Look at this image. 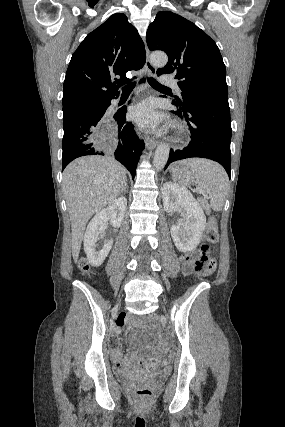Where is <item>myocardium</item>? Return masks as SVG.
Returning <instances> with one entry per match:
<instances>
[{
    "label": "myocardium",
    "instance_id": "obj_1",
    "mask_svg": "<svg viewBox=\"0 0 285 427\" xmlns=\"http://www.w3.org/2000/svg\"><path fill=\"white\" fill-rule=\"evenodd\" d=\"M183 132H184V127H183V125H182V124H180V123H177V124L175 125V140L179 139V138H180V136L183 134Z\"/></svg>",
    "mask_w": 285,
    "mask_h": 427
}]
</instances>
